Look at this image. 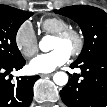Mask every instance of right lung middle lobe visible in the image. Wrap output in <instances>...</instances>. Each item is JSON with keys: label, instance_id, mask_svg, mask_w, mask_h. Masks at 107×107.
Returning a JSON list of instances; mask_svg holds the SVG:
<instances>
[{"label": "right lung middle lobe", "instance_id": "1", "mask_svg": "<svg viewBox=\"0 0 107 107\" xmlns=\"http://www.w3.org/2000/svg\"><path fill=\"white\" fill-rule=\"evenodd\" d=\"M33 13L0 5V61L14 63L23 59L16 45L20 25Z\"/></svg>", "mask_w": 107, "mask_h": 107}]
</instances>
